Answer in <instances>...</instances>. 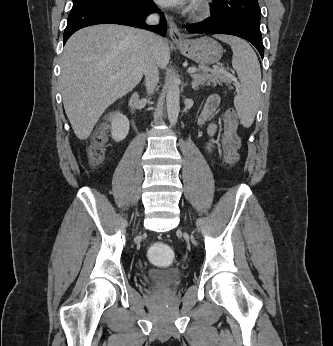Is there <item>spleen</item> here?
<instances>
[{
	"label": "spleen",
	"instance_id": "obj_1",
	"mask_svg": "<svg viewBox=\"0 0 333 346\" xmlns=\"http://www.w3.org/2000/svg\"><path fill=\"white\" fill-rule=\"evenodd\" d=\"M231 46L232 66L240 80V88L234 98V105L244 127L254 121L260 98L261 69L254 50L244 40L233 36H217Z\"/></svg>",
	"mask_w": 333,
	"mask_h": 346
}]
</instances>
